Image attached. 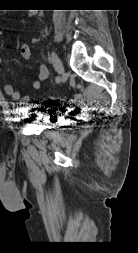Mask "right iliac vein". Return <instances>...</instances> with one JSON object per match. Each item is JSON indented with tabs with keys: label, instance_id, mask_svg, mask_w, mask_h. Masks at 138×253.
I'll return each instance as SVG.
<instances>
[{
	"label": "right iliac vein",
	"instance_id": "63e3f726",
	"mask_svg": "<svg viewBox=\"0 0 138 253\" xmlns=\"http://www.w3.org/2000/svg\"><path fill=\"white\" fill-rule=\"evenodd\" d=\"M51 58H52V63H53L55 71L58 74H62L64 71L62 60L59 58V56L55 52H52Z\"/></svg>",
	"mask_w": 138,
	"mask_h": 253
}]
</instances>
